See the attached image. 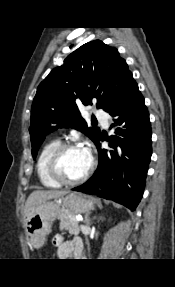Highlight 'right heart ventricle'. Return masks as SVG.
Wrapping results in <instances>:
<instances>
[{
	"instance_id": "obj_1",
	"label": "right heart ventricle",
	"mask_w": 175,
	"mask_h": 287,
	"mask_svg": "<svg viewBox=\"0 0 175 287\" xmlns=\"http://www.w3.org/2000/svg\"><path fill=\"white\" fill-rule=\"evenodd\" d=\"M60 144L58 139H52L46 142L37 157L36 162V172L40 183L47 188H59L61 186L60 183L55 181L50 177L48 173V161L52 154V152L56 149V147Z\"/></svg>"
}]
</instances>
